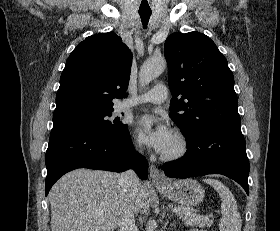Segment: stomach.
<instances>
[{
  "mask_svg": "<svg viewBox=\"0 0 280 231\" xmlns=\"http://www.w3.org/2000/svg\"><path fill=\"white\" fill-rule=\"evenodd\" d=\"M156 187L160 193H163L164 197H168L176 203H182L185 207L198 205L205 195V189L196 179H176V181L168 179L165 187L163 185H156Z\"/></svg>",
  "mask_w": 280,
  "mask_h": 231,
  "instance_id": "1",
  "label": "stomach"
}]
</instances>
